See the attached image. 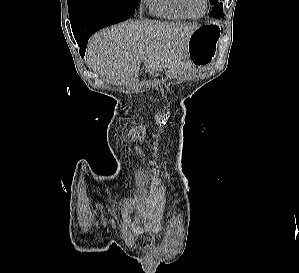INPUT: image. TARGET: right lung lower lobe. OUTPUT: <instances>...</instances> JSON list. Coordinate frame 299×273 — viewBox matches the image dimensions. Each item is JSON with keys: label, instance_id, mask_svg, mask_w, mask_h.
<instances>
[{"label": "right lung lower lobe", "instance_id": "1", "mask_svg": "<svg viewBox=\"0 0 299 273\" xmlns=\"http://www.w3.org/2000/svg\"><path fill=\"white\" fill-rule=\"evenodd\" d=\"M134 12L135 10H104L91 14H79L70 19L81 57L85 54L88 39L92 34L104 27L127 20Z\"/></svg>", "mask_w": 299, "mask_h": 273}]
</instances>
